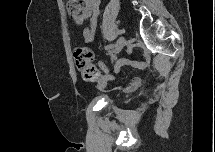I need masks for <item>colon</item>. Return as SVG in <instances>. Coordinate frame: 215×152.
Here are the masks:
<instances>
[{
    "instance_id": "1",
    "label": "colon",
    "mask_w": 215,
    "mask_h": 152,
    "mask_svg": "<svg viewBox=\"0 0 215 152\" xmlns=\"http://www.w3.org/2000/svg\"><path fill=\"white\" fill-rule=\"evenodd\" d=\"M66 9L70 16L79 17L82 13V2L78 0H68ZM74 60L77 68L87 80L97 75V69L93 65V53L88 48H77L74 51Z\"/></svg>"
}]
</instances>
